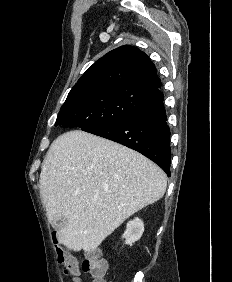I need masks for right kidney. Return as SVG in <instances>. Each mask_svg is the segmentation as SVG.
<instances>
[{"instance_id":"right-kidney-1","label":"right kidney","mask_w":232,"mask_h":282,"mask_svg":"<svg viewBox=\"0 0 232 282\" xmlns=\"http://www.w3.org/2000/svg\"><path fill=\"white\" fill-rule=\"evenodd\" d=\"M144 232L143 221L139 218H135L127 223L126 231L123 234L125 243L132 245L135 241L139 240Z\"/></svg>"}]
</instances>
